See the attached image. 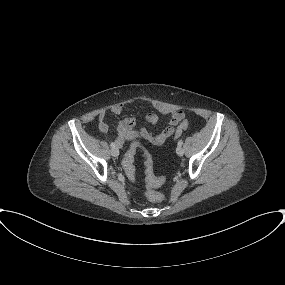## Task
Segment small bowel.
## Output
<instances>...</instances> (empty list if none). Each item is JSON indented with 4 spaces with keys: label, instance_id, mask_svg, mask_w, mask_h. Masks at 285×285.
<instances>
[{
    "label": "small bowel",
    "instance_id": "small-bowel-1",
    "mask_svg": "<svg viewBox=\"0 0 285 285\" xmlns=\"http://www.w3.org/2000/svg\"><path fill=\"white\" fill-rule=\"evenodd\" d=\"M123 109V104H115L112 106L111 112L115 115H119L123 112ZM184 116L185 114L183 111H176L172 114L167 126H165L158 133H152L145 128L136 130V121L132 117L122 119L115 124V144L118 147H123L127 142H137L138 140H146L153 145H162L177 130L180 122L183 121ZM145 119L149 125H155L158 122V116L154 113H147ZM98 129L101 132H105L108 129L105 112L99 114Z\"/></svg>",
    "mask_w": 285,
    "mask_h": 285
}]
</instances>
